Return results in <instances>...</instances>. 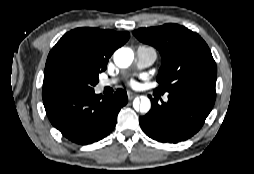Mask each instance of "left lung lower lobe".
<instances>
[{"instance_id":"0a47b994","label":"left lung lower lobe","mask_w":254,"mask_h":174,"mask_svg":"<svg viewBox=\"0 0 254 174\" xmlns=\"http://www.w3.org/2000/svg\"><path fill=\"white\" fill-rule=\"evenodd\" d=\"M152 108L139 118L142 130L159 142L177 143L196 134L211 112L215 100L193 92H171L168 102L158 104L151 99Z\"/></svg>"}]
</instances>
